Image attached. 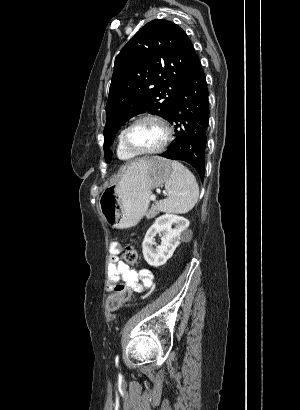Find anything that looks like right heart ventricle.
Here are the masks:
<instances>
[{
    "instance_id": "obj_1",
    "label": "right heart ventricle",
    "mask_w": 300,
    "mask_h": 410,
    "mask_svg": "<svg viewBox=\"0 0 300 410\" xmlns=\"http://www.w3.org/2000/svg\"><path fill=\"white\" fill-rule=\"evenodd\" d=\"M121 135H122V131L119 133L118 139H117V155L121 160L128 161V160H131V159L135 158L136 156L133 155L130 151H128L123 146L122 140H121Z\"/></svg>"
}]
</instances>
